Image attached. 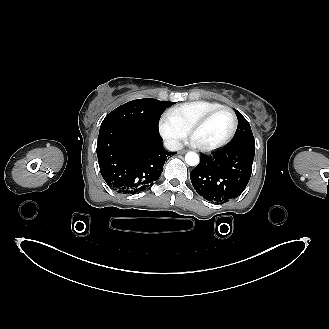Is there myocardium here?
<instances>
[{
	"mask_svg": "<svg viewBox=\"0 0 329 329\" xmlns=\"http://www.w3.org/2000/svg\"><path fill=\"white\" fill-rule=\"evenodd\" d=\"M222 111H227L232 116L233 125H232V129H231L229 135L223 141L216 143V144H212V145H201L198 143H194L195 146L199 150L205 151V152L216 150L218 148H221V147L227 145L234 138L237 128H238V118H237V115L234 112V110L228 106H222L217 109H214V110L210 111L209 113H207L206 115H204L199 120H197L195 123H193L191 125V127L189 128V136L191 139H193V135L199 128L204 126L212 117H214L215 115H217L218 113H220Z\"/></svg>",
	"mask_w": 329,
	"mask_h": 329,
	"instance_id": "1",
	"label": "myocardium"
}]
</instances>
